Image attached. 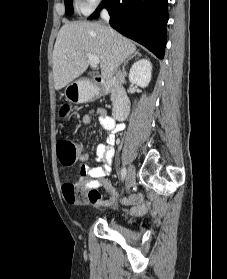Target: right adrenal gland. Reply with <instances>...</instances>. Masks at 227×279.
Masks as SVG:
<instances>
[{"label":"right adrenal gland","mask_w":227,"mask_h":279,"mask_svg":"<svg viewBox=\"0 0 227 279\" xmlns=\"http://www.w3.org/2000/svg\"><path fill=\"white\" fill-rule=\"evenodd\" d=\"M136 56L140 57V56H141V53H140L139 51H136L133 55H131L130 57H128V58L124 61L123 67H122V71H123V74H124V75H126V71H125V66H126V64H127L131 59H133V58L136 57Z\"/></svg>","instance_id":"obj_1"}]
</instances>
